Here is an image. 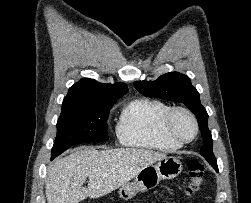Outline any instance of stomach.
Instances as JSON below:
<instances>
[{
    "label": "stomach",
    "instance_id": "1",
    "mask_svg": "<svg viewBox=\"0 0 251 203\" xmlns=\"http://www.w3.org/2000/svg\"><path fill=\"white\" fill-rule=\"evenodd\" d=\"M182 171V164L177 157L166 156L155 164L144 167L133 182L122 185L119 195L122 199L133 198L138 192L154 189L162 179H173Z\"/></svg>",
    "mask_w": 251,
    "mask_h": 203
}]
</instances>
